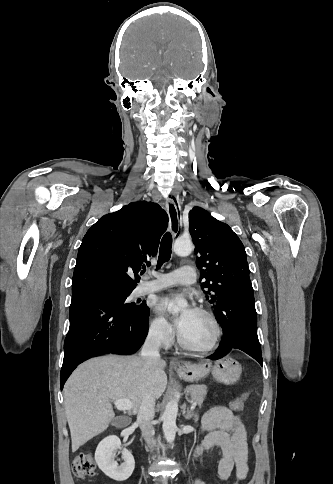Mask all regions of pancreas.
I'll return each mask as SVG.
<instances>
[{
	"instance_id": "obj_1",
	"label": "pancreas",
	"mask_w": 333,
	"mask_h": 484,
	"mask_svg": "<svg viewBox=\"0 0 333 484\" xmlns=\"http://www.w3.org/2000/svg\"><path fill=\"white\" fill-rule=\"evenodd\" d=\"M186 392L190 394L191 400L201 405L204 401V398L207 394V386L206 385H192L186 388Z\"/></svg>"
}]
</instances>
